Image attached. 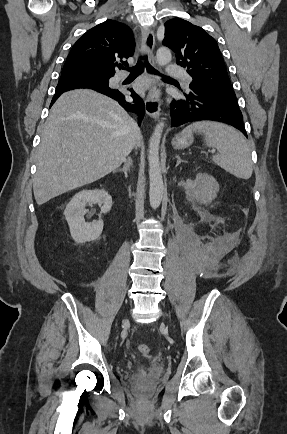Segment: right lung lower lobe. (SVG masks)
Masks as SVG:
<instances>
[{"label": "right lung lower lobe", "instance_id": "obj_1", "mask_svg": "<svg viewBox=\"0 0 287 434\" xmlns=\"http://www.w3.org/2000/svg\"><path fill=\"white\" fill-rule=\"evenodd\" d=\"M76 88H90V89H94L104 95H107L111 98H113L114 100L118 101L119 104L127 111L129 112H134L138 115V123L139 125L141 124V121L144 117L145 114V106H144V102L142 100V98L140 96H138L133 89H130L131 91V96L133 98V102H127L125 100V96L124 94L119 91V90H115V89H111L109 87H104V86H99V85H94V84H63V83H58L57 87H56V92L55 95L52 99L51 104H53L56 99L65 91L71 90V89H76Z\"/></svg>", "mask_w": 287, "mask_h": 434}]
</instances>
